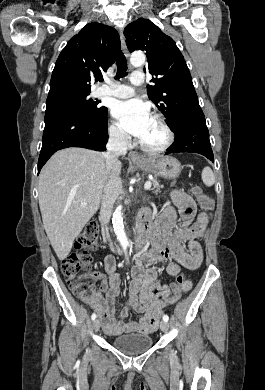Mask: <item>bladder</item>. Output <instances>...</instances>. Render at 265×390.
Returning <instances> with one entry per match:
<instances>
[{"mask_svg":"<svg viewBox=\"0 0 265 390\" xmlns=\"http://www.w3.org/2000/svg\"><path fill=\"white\" fill-rule=\"evenodd\" d=\"M153 343V338L146 334H130L116 336L112 345L118 351L128 355H138L147 351Z\"/></svg>","mask_w":265,"mask_h":390,"instance_id":"obj_1","label":"bladder"}]
</instances>
